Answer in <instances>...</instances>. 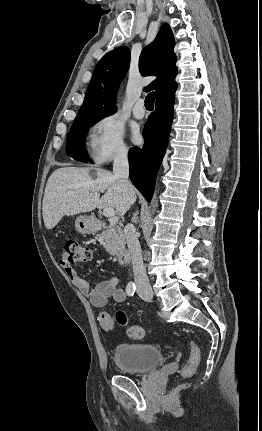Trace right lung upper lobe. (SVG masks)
<instances>
[{
	"label": "right lung upper lobe",
	"instance_id": "right-lung-upper-lobe-1",
	"mask_svg": "<svg viewBox=\"0 0 262 431\" xmlns=\"http://www.w3.org/2000/svg\"><path fill=\"white\" fill-rule=\"evenodd\" d=\"M175 40L170 26H161L156 39L141 52L139 70L144 76L157 75L147 86L156 90V99L176 90ZM130 64V51L121 46L106 53L97 63L84 102L76 119L104 118L116 111V92Z\"/></svg>",
	"mask_w": 262,
	"mask_h": 431
}]
</instances>
